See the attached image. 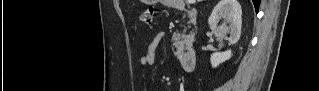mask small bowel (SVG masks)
Here are the masks:
<instances>
[{
  "label": "small bowel",
  "mask_w": 319,
  "mask_h": 91,
  "mask_svg": "<svg viewBox=\"0 0 319 91\" xmlns=\"http://www.w3.org/2000/svg\"><path fill=\"white\" fill-rule=\"evenodd\" d=\"M161 40H162V37L159 34L154 35L150 39L149 43L147 44L145 53L140 58V64L142 66L152 65L155 62V54Z\"/></svg>",
  "instance_id": "c3829d8e"
}]
</instances>
